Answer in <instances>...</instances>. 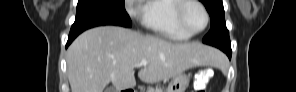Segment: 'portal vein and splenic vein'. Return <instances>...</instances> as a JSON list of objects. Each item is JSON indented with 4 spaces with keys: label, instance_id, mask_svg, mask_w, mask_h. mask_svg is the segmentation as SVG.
Wrapping results in <instances>:
<instances>
[{
    "label": "portal vein and splenic vein",
    "instance_id": "portal-vein-and-splenic-vein-1",
    "mask_svg": "<svg viewBox=\"0 0 296 92\" xmlns=\"http://www.w3.org/2000/svg\"><path fill=\"white\" fill-rule=\"evenodd\" d=\"M147 65V61L146 60H142L140 63H139V66H146Z\"/></svg>",
    "mask_w": 296,
    "mask_h": 92
}]
</instances>
